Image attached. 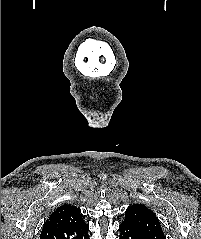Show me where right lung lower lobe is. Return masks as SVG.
<instances>
[{
	"instance_id": "98d812e1",
	"label": "right lung lower lobe",
	"mask_w": 201,
	"mask_h": 239,
	"mask_svg": "<svg viewBox=\"0 0 201 239\" xmlns=\"http://www.w3.org/2000/svg\"><path fill=\"white\" fill-rule=\"evenodd\" d=\"M85 239H89V238H88V235H86Z\"/></svg>"
}]
</instances>
